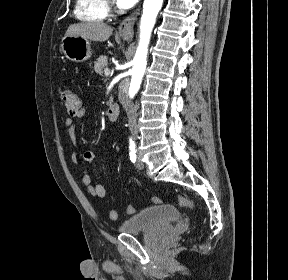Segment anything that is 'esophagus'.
I'll list each match as a JSON object with an SVG mask.
<instances>
[{"mask_svg":"<svg viewBox=\"0 0 288 280\" xmlns=\"http://www.w3.org/2000/svg\"><path fill=\"white\" fill-rule=\"evenodd\" d=\"M139 9H136L129 16H127L119 25L118 31L121 37L130 39L134 34V24L137 20Z\"/></svg>","mask_w":288,"mask_h":280,"instance_id":"obj_1","label":"esophagus"}]
</instances>
